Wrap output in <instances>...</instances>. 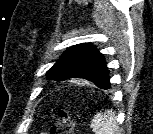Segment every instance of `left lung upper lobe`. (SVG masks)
Segmentation results:
<instances>
[{
  "mask_svg": "<svg viewBox=\"0 0 153 134\" xmlns=\"http://www.w3.org/2000/svg\"><path fill=\"white\" fill-rule=\"evenodd\" d=\"M46 77L55 81L81 78L93 82L99 88H110L106 61L99 50L88 43L67 49L48 70Z\"/></svg>",
  "mask_w": 153,
  "mask_h": 134,
  "instance_id": "left-lung-upper-lobe-1",
  "label": "left lung upper lobe"
}]
</instances>
